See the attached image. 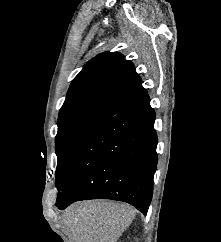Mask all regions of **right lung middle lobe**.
<instances>
[{
    "mask_svg": "<svg viewBox=\"0 0 221 242\" xmlns=\"http://www.w3.org/2000/svg\"><path fill=\"white\" fill-rule=\"evenodd\" d=\"M100 124L99 122H80L58 128L55 139L57 154L56 184L75 151Z\"/></svg>",
    "mask_w": 221,
    "mask_h": 242,
    "instance_id": "obj_1",
    "label": "right lung middle lobe"
}]
</instances>
